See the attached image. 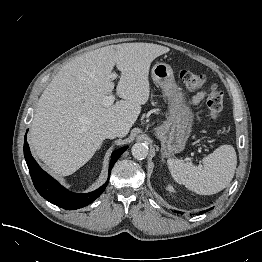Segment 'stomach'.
Returning <instances> with one entry per match:
<instances>
[{
	"mask_svg": "<svg viewBox=\"0 0 262 262\" xmlns=\"http://www.w3.org/2000/svg\"><path fill=\"white\" fill-rule=\"evenodd\" d=\"M151 77L160 86L168 100L169 116L155 128V135L161 141L164 156H172L185 148L192 130L193 113L185 100V94L175 82L173 70L166 63H157L151 70Z\"/></svg>",
	"mask_w": 262,
	"mask_h": 262,
	"instance_id": "1",
	"label": "stomach"
}]
</instances>
